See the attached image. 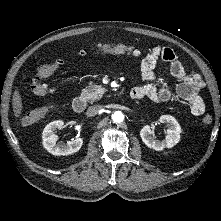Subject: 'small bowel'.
<instances>
[{
	"label": "small bowel",
	"instance_id": "c3829d8e",
	"mask_svg": "<svg viewBox=\"0 0 221 221\" xmlns=\"http://www.w3.org/2000/svg\"><path fill=\"white\" fill-rule=\"evenodd\" d=\"M105 53L125 54L110 51H105ZM128 54L139 57L141 50L133 47V50ZM160 60L169 63L172 75L180 81L175 94L164 86L156 85L159 79L155 74V68ZM141 73L143 78L150 83L136 87L131 91L136 99L148 97L158 103H167L176 95L186 103L193 116L199 117L204 113L205 104L199 95L200 90L204 87L201 76L195 72L187 73L170 48L158 46L151 49L141 62Z\"/></svg>",
	"mask_w": 221,
	"mask_h": 221
}]
</instances>
